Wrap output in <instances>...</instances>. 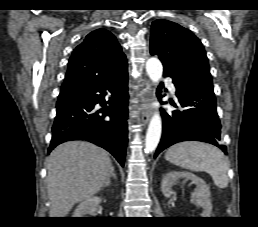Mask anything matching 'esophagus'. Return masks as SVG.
<instances>
[{"instance_id": "34e87169", "label": "esophagus", "mask_w": 258, "mask_h": 227, "mask_svg": "<svg viewBox=\"0 0 258 227\" xmlns=\"http://www.w3.org/2000/svg\"><path fill=\"white\" fill-rule=\"evenodd\" d=\"M153 100V92L148 80L144 79L140 88V101L142 105L141 120L144 124H147L152 116V111L149 108V104Z\"/></svg>"}]
</instances>
